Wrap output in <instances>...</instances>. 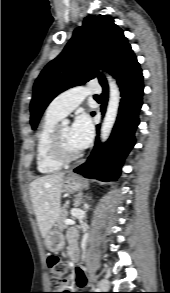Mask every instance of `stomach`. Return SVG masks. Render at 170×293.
<instances>
[{"label":"stomach","mask_w":170,"mask_h":293,"mask_svg":"<svg viewBox=\"0 0 170 293\" xmlns=\"http://www.w3.org/2000/svg\"><path fill=\"white\" fill-rule=\"evenodd\" d=\"M82 179L74 174H69L64 178L63 191L67 193H73L81 190ZM46 248L54 253H58L63 250L65 240L63 234L58 230H50L44 238Z\"/></svg>","instance_id":"stomach-1"}]
</instances>
